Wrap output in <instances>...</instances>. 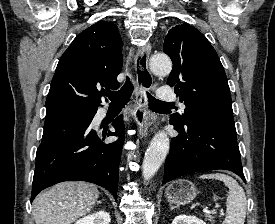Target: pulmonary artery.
<instances>
[{"instance_id": "e3ab8cb5", "label": "pulmonary artery", "mask_w": 275, "mask_h": 224, "mask_svg": "<svg viewBox=\"0 0 275 224\" xmlns=\"http://www.w3.org/2000/svg\"><path fill=\"white\" fill-rule=\"evenodd\" d=\"M157 96L158 99L161 101H176L177 100V96L176 93L174 92V90L172 88L169 87H163L158 89L157 91ZM180 107L181 108H185V105L180 102Z\"/></svg>"}]
</instances>
